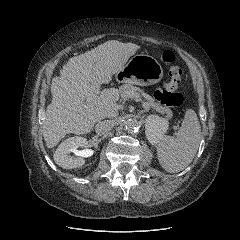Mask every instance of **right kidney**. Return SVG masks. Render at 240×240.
Wrapping results in <instances>:
<instances>
[{"label":"right kidney","instance_id":"ca27d5eb","mask_svg":"<svg viewBox=\"0 0 240 240\" xmlns=\"http://www.w3.org/2000/svg\"><path fill=\"white\" fill-rule=\"evenodd\" d=\"M88 141L84 137H70L64 140L56 149L54 153V161L57 165L64 169H72L81 167L85 164L84 157L91 156L89 149H84L78 152V148H86ZM79 153L80 157L73 158L70 156V153Z\"/></svg>","mask_w":240,"mask_h":240}]
</instances>
